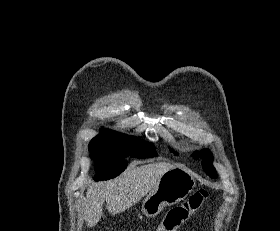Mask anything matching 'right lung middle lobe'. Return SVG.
I'll return each mask as SVG.
<instances>
[{
	"label": "right lung middle lobe",
	"instance_id": "1",
	"mask_svg": "<svg viewBox=\"0 0 280 231\" xmlns=\"http://www.w3.org/2000/svg\"><path fill=\"white\" fill-rule=\"evenodd\" d=\"M90 156L95 159L97 174L94 179L108 180L118 176L127 167L128 156L149 158L157 156L153 144L137 137L102 129L89 143Z\"/></svg>",
	"mask_w": 280,
	"mask_h": 231
}]
</instances>
